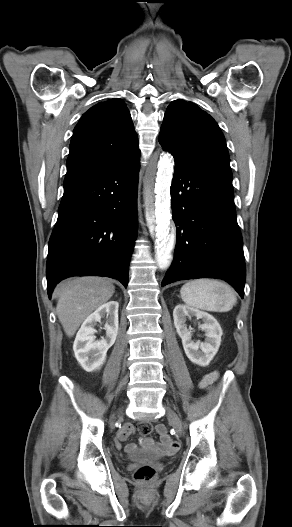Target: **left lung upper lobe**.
I'll use <instances>...</instances> for the list:
<instances>
[{"mask_svg": "<svg viewBox=\"0 0 292 527\" xmlns=\"http://www.w3.org/2000/svg\"><path fill=\"white\" fill-rule=\"evenodd\" d=\"M161 146L181 165L232 175L224 135L215 120L191 102L173 101L161 126Z\"/></svg>", "mask_w": 292, "mask_h": 527, "instance_id": "left-lung-upper-lobe-1", "label": "left lung upper lobe"}]
</instances>
